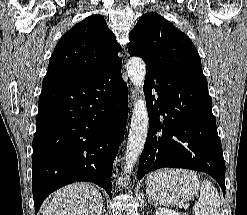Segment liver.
Here are the masks:
<instances>
[{
	"label": "liver",
	"instance_id": "liver-1",
	"mask_svg": "<svg viewBox=\"0 0 247 215\" xmlns=\"http://www.w3.org/2000/svg\"><path fill=\"white\" fill-rule=\"evenodd\" d=\"M103 198L96 187L74 183L55 192L43 205V215H101Z\"/></svg>",
	"mask_w": 247,
	"mask_h": 215
}]
</instances>
